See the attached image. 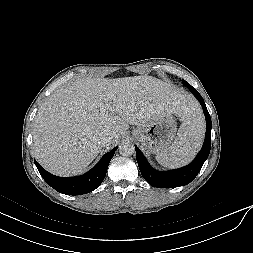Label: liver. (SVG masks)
<instances>
[{
	"mask_svg": "<svg viewBox=\"0 0 253 253\" xmlns=\"http://www.w3.org/2000/svg\"><path fill=\"white\" fill-rule=\"evenodd\" d=\"M191 100L152 76L82 78L54 91L34 122V155L58 176L80 174L101 152L115 145L130 125L161 115L184 118ZM111 141L103 145L100 134Z\"/></svg>",
	"mask_w": 253,
	"mask_h": 253,
	"instance_id": "6515ba94",
	"label": "liver"
}]
</instances>
